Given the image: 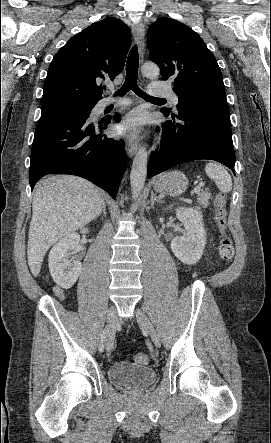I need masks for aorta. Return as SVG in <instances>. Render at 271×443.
Masks as SVG:
<instances>
[{
  "label": "aorta",
  "mask_w": 271,
  "mask_h": 443,
  "mask_svg": "<svg viewBox=\"0 0 271 443\" xmlns=\"http://www.w3.org/2000/svg\"><path fill=\"white\" fill-rule=\"evenodd\" d=\"M143 76L146 78H158L160 70L156 64L152 62H147L141 68ZM147 158L148 154L146 148H140L138 150L132 164L131 174H130V186L132 190V198L136 200L139 198L144 186L147 176Z\"/></svg>",
  "instance_id": "aorta-1"
}]
</instances>
